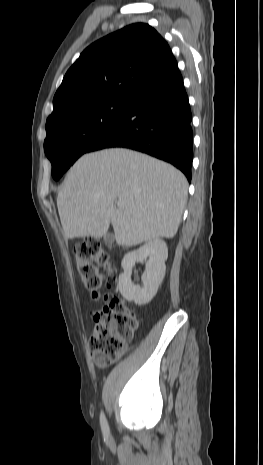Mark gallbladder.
Segmentation results:
<instances>
[{
	"instance_id": "1",
	"label": "gallbladder",
	"mask_w": 263,
	"mask_h": 465,
	"mask_svg": "<svg viewBox=\"0 0 263 465\" xmlns=\"http://www.w3.org/2000/svg\"><path fill=\"white\" fill-rule=\"evenodd\" d=\"M104 241H105L106 243H108V244H112L113 241H114V236H113V234H112V233H109V232L106 233V234L104 235Z\"/></svg>"
}]
</instances>
